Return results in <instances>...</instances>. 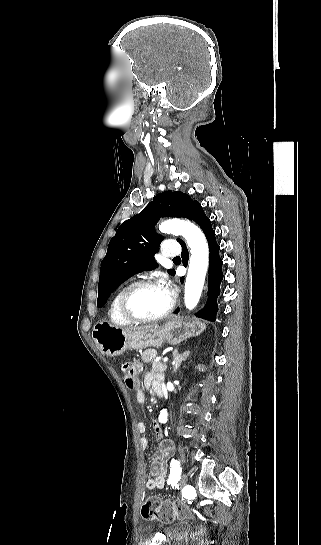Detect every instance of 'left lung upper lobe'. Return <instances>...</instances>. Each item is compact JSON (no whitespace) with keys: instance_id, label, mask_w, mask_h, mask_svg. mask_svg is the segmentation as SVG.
Segmentation results:
<instances>
[{"instance_id":"1","label":"left lung upper lobe","mask_w":321,"mask_h":545,"mask_svg":"<svg viewBox=\"0 0 321 545\" xmlns=\"http://www.w3.org/2000/svg\"><path fill=\"white\" fill-rule=\"evenodd\" d=\"M200 206L198 201L183 192L165 191L139 214L123 222L110 240L101 263L97 306L101 307L110 294L134 274L157 267L154 254L163 237L153 229L161 217L191 219ZM168 273L174 275L175 270L169 269Z\"/></svg>"}]
</instances>
